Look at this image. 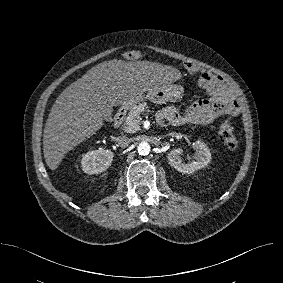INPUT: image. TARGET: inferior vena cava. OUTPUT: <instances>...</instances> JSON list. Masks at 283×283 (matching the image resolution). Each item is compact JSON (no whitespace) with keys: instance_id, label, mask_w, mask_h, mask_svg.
I'll return each instance as SVG.
<instances>
[{"instance_id":"602c4592","label":"inferior vena cava","mask_w":283,"mask_h":283,"mask_svg":"<svg viewBox=\"0 0 283 283\" xmlns=\"http://www.w3.org/2000/svg\"><path fill=\"white\" fill-rule=\"evenodd\" d=\"M116 140L122 148H126L131 142V139L126 136H119Z\"/></svg>"}]
</instances>
